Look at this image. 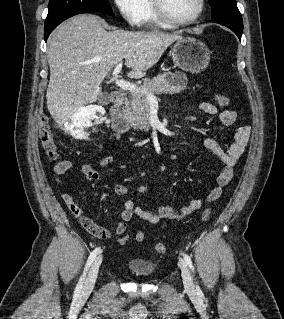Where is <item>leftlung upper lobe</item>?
Listing matches in <instances>:
<instances>
[{"label": "left lung upper lobe", "mask_w": 284, "mask_h": 319, "mask_svg": "<svg viewBox=\"0 0 284 319\" xmlns=\"http://www.w3.org/2000/svg\"><path fill=\"white\" fill-rule=\"evenodd\" d=\"M209 2L212 8L213 20H228L243 23L235 0H209Z\"/></svg>", "instance_id": "obj_1"}]
</instances>
